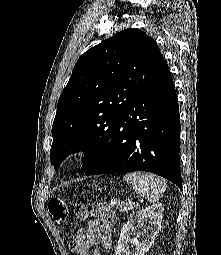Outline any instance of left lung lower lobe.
<instances>
[{"instance_id": "obj_1", "label": "left lung lower lobe", "mask_w": 221, "mask_h": 255, "mask_svg": "<svg viewBox=\"0 0 221 255\" xmlns=\"http://www.w3.org/2000/svg\"><path fill=\"white\" fill-rule=\"evenodd\" d=\"M179 107L165 63L154 81L117 119L101 155L85 175L147 171L182 187Z\"/></svg>"}]
</instances>
